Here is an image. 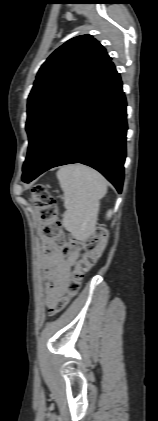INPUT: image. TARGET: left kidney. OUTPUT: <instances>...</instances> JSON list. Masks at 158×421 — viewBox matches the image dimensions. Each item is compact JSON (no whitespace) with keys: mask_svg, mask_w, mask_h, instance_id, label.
Segmentation results:
<instances>
[{"mask_svg":"<svg viewBox=\"0 0 158 421\" xmlns=\"http://www.w3.org/2000/svg\"><path fill=\"white\" fill-rule=\"evenodd\" d=\"M107 218H110L111 216H112V211L111 210H109L108 212H107Z\"/></svg>","mask_w":158,"mask_h":421,"instance_id":"obj_1","label":"left kidney"}]
</instances>
